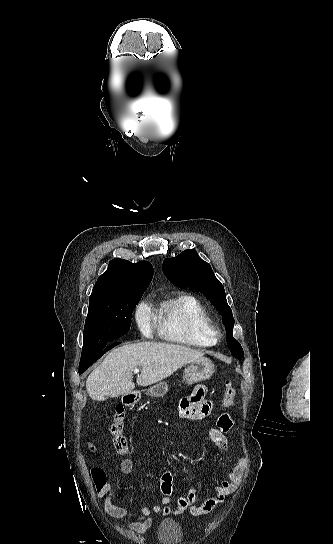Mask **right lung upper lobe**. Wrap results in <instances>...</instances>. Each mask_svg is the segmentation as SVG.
Returning <instances> with one entry per match:
<instances>
[{
	"mask_svg": "<svg viewBox=\"0 0 333 544\" xmlns=\"http://www.w3.org/2000/svg\"><path fill=\"white\" fill-rule=\"evenodd\" d=\"M153 277V267L147 261L131 263L113 259L108 269L94 285L89 302L129 296L144 291Z\"/></svg>",
	"mask_w": 333,
	"mask_h": 544,
	"instance_id": "1",
	"label": "right lung upper lobe"
}]
</instances>
